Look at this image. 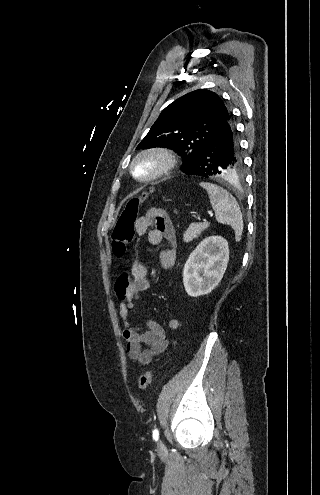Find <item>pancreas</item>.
Segmentation results:
<instances>
[{
	"instance_id": "cf45deb5",
	"label": "pancreas",
	"mask_w": 320,
	"mask_h": 495,
	"mask_svg": "<svg viewBox=\"0 0 320 495\" xmlns=\"http://www.w3.org/2000/svg\"><path fill=\"white\" fill-rule=\"evenodd\" d=\"M208 227V223H191L183 235V241L190 242L193 239H197L201 235L202 231Z\"/></svg>"
}]
</instances>
